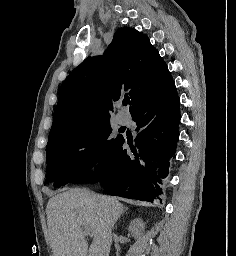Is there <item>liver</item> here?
I'll use <instances>...</instances> for the list:
<instances>
[{"instance_id": "obj_1", "label": "liver", "mask_w": 236, "mask_h": 256, "mask_svg": "<svg viewBox=\"0 0 236 256\" xmlns=\"http://www.w3.org/2000/svg\"><path fill=\"white\" fill-rule=\"evenodd\" d=\"M46 206L48 236L53 256H109L112 228L124 208L117 198L86 188H63ZM81 226L91 228L88 246Z\"/></svg>"}]
</instances>
